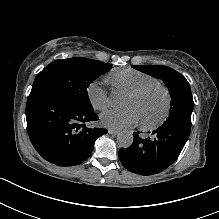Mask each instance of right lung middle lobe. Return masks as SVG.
Listing matches in <instances>:
<instances>
[{"mask_svg":"<svg viewBox=\"0 0 219 219\" xmlns=\"http://www.w3.org/2000/svg\"><path fill=\"white\" fill-rule=\"evenodd\" d=\"M110 66L82 57L55 60L37 74L31 93L48 92L62 96L78 107L92 108L87 88L101 74L109 71Z\"/></svg>","mask_w":219,"mask_h":219,"instance_id":"right-lung-middle-lobe-1","label":"right lung middle lobe"}]
</instances>
